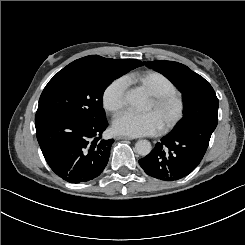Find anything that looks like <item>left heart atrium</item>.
I'll use <instances>...</instances> for the list:
<instances>
[{
	"instance_id": "obj_1",
	"label": "left heart atrium",
	"mask_w": 245,
	"mask_h": 245,
	"mask_svg": "<svg viewBox=\"0 0 245 245\" xmlns=\"http://www.w3.org/2000/svg\"><path fill=\"white\" fill-rule=\"evenodd\" d=\"M113 128L118 134L135 137L159 132L161 122L152 111L143 114L125 113L115 119Z\"/></svg>"
}]
</instances>
